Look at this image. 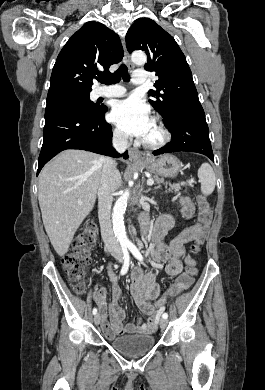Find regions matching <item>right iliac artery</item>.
Returning a JSON list of instances; mask_svg holds the SVG:
<instances>
[{
	"label": "right iliac artery",
	"mask_w": 265,
	"mask_h": 390,
	"mask_svg": "<svg viewBox=\"0 0 265 390\" xmlns=\"http://www.w3.org/2000/svg\"><path fill=\"white\" fill-rule=\"evenodd\" d=\"M122 250H123V254H124V264H123L122 269H121V275H125L129 269L130 257H129L127 247H123ZM92 312H93V315H96L97 309L94 308Z\"/></svg>",
	"instance_id": "right-iliac-artery-1"
}]
</instances>
